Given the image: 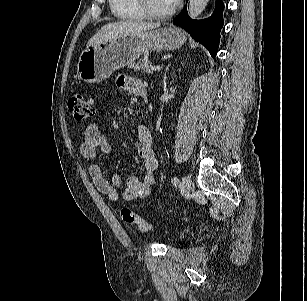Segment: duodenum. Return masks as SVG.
Here are the masks:
<instances>
[{"label": "duodenum", "instance_id": "1", "mask_svg": "<svg viewBox=\"0 0 307 301\" xmlns=\"http://www.w3.org/2000/svg\"><path fill=\"white\" fill-rule=\"evenodd\" d=\"M138 94L141 96V97H143L144 99H147V97H148V93H147V91H146V89L143 87V88H141L139 91H138Z\"/></svg>", "mask_w": 307, "mask_h": 301}]
</instances>
